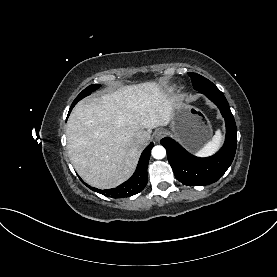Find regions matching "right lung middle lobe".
I'll use <instances>...</instances> for the list:
<instances>
[{
  "label": "right lung middle lobe",
  "mask_w": 277,
  "mask_h": 277,
  "mask_svg": "<svg viewBox=\"0 0 277 277\" xmlns=\"http://www.w3.org/2000/svg\"><path fill=\"white\" fill-rule=\"evenodd\" d=\"M100 85L99 84H93L88 86L87 88H85L77 97L76 99L73 101L69 113L71 112L72 108L77 104L78 101H80L81 99H83L84 97L88 96L91 94V92H93L94 90H96L97 88H99ZM69 115V114H68Z\"/></svg>",
  "instance_id": "obj_1"
}]
</instances>
